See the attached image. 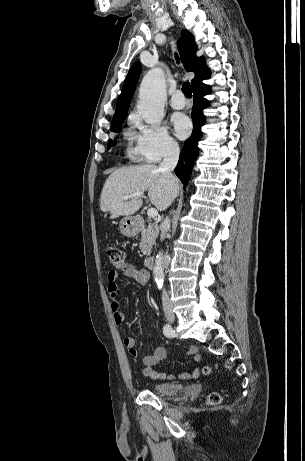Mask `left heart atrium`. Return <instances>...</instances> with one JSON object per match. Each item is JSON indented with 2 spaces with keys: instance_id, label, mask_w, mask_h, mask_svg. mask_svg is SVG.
I'll return each instance as SVG.
<instances>
[{
  "instance_id": "39dd6f15",
  "label": "left heart atrium",
  "mask_w": 305,
  "mask_h": 461,
  "mask_svg": "<svg viewBox=\"0 0 305 461\" xmlns=\"http://www.w3.org/2000/svg\"><path fill=\"white\" fill-rule=\"evenodd\" d=\"M172 124L174 127L175 134L178 138H186L191 131V122L183 114H175L172 117Z\"/></svg>"
}]
</instances>
